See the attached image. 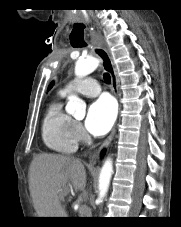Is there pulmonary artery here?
<instances>
[{"label":"pulmonary artery","instance_id":"e3ab8cb5","mask_svg":"<svg viewBox=\"0 0 181 227\" xmlns=\"http://www.w3.org/2000/svg\"><path fill=\"white\" fill-rule=\"evenodd\" d=\"M101 91L99 83L91 78L83 80H72L68 82L60 91L62 95L70 93H80L86 97H95Z\"/></svg>","mask_w":181,"mask_h":227}]
</instances>
